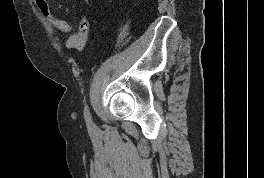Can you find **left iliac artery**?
Listing matches in <instances>:
<instances>
[{
	"label": "left iliac artery",
	"instance_id": "obj_1",
	"mask_svg": "<svg viewBox=\"0 0 264 178\" xmlns=\"http://www.w3.org/2000/svg\"><path fill=\"white\" fill-rule=\"evenodd\" d=\"M84 117H85L86 121H88V122H90L92 119L88 104H85V107H84Z\"/></svg>",
	"mask_w": 264,
	"mask_h": 178
}]
</instances>
